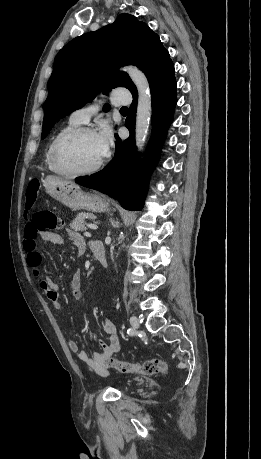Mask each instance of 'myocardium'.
Returning <instances> with one entry per match:
<instances>
[{
  "label": "myocardium",
  "mask_w": 261,
  "mask_h": 459,
  "mask_svg": "<svg viewBox=\"0 0 261 459\" xmlns=\"http://www.w3.org/2000/svg\"><path fill=\"white\" fill-rule=\"evenodd\" d=\"M86 134H95V131L90 127H82L78 126L72 128L63 134H61L55 141L52 152H51V162L55 170L58 174L67 177H80V176H87L92 175L99 171L101 167L104 165L105 157H103L98 163H96L93 167L84 169V170H68L66 169L60 162V153L62 147L69 141L76 137L86 135Z\"/></svg>",
  "instance_id": "obj_1"
}]
</instances>
